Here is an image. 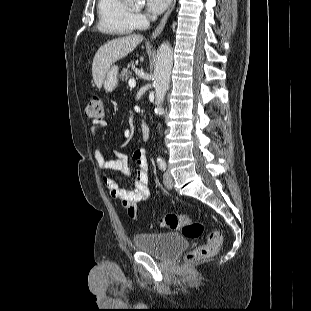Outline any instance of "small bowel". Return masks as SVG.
<instances>
[{
  "instance_id": "obj_1",
  "label": "small bowel",
  "mask_w": 311,
  "mask_h": 311,
  "mask_svg": "<svg viewBox=\"0 0 311 311\" xmlns=\"http://www.w3.org/2000/svg\"><path fill=\"white\" fill-rule=\"evenodd\" d=\"M105 126V120H94L89 129L91 135L94 136ZM114 155V158L108 159L104 156L103 152L97 148L94 152V159L98 168L104 171L109 170L120 172L123 175L130 177L132 171L129 166L128 155L118 151H116ZM132 158L137 166L136 174L133 178L132 189L119 187L118 183L109 176L103 177V183L108 189L110 195L121 201L123 207L127 210L128 217L133 221H137V204L147 200L150 196L146 150L144 148L136 149Z\"/></svg>"
}]
</instances>
